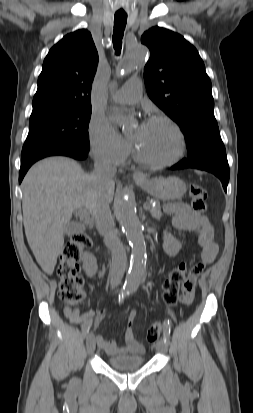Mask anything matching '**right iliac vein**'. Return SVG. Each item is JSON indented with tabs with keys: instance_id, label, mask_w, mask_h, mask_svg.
Instances as JSON below:
<instances>
[{
	"instance_id": "obj_1",
	"label": "right iliac vein",
	"mask_w": 253,
	"mask_h": 413,
	"mask_svg": "<svg viewBox=\"0 0 253 413\" xmlns=\"http://www.w3.org/2000/svg\"><path fill=\"white\" fill-rule=\"evenodd\" d=\"M86 346H87L88 354H93L95 347H96V342H95V337L92 333H89L87 335Z\"/></svg>"
}]
</instances>
